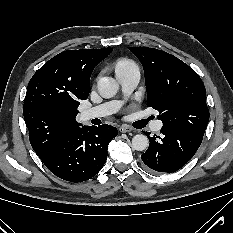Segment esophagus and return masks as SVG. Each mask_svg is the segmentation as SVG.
Masks as SVG:
<instances>
[{
    "mask_svg": "<svg viewBox=\"0 0 233 233\" xmlns=\"http://www.w3.org/2000/svg\"><path fill=\"white\" fill-rule=\"evenodd\" d=\"M133 129L130 127V126H128V125H122V126H120V128H119V131L121 132V133H128V132H131Z\"/></svg>",
    "mask_w": 233,
    "mask_h": 233,
    "instance_id": "1",
    "label": "esophagus"
}]
</instances>
